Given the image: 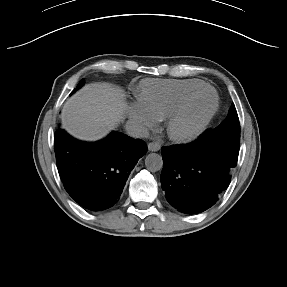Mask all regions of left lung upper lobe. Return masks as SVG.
<instances>
[{"label":"left lung upper lobe","mask_w":287,"mask_h":287,"mask_svg":"<svg viewBox=\"0 0 287 287\" xmlns=\"http://www.w3.org/2000/svg\"><path fill=\"white\" fill-rule=\"evenodd\" d=\"M214 132L228 140L240 143V123L234 104L231 105L228 117L214 129Z\"/></svg>","instance_id":"left-lung-upper-lobe-1"}]
</instances>
